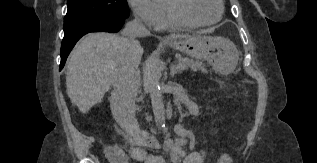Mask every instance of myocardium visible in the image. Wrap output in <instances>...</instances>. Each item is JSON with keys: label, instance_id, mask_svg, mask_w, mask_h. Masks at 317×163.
<instances>
[{"label": "myocardium", "instance_id": "1", "mask_svg": "<svg viewBox=\"0 0 317 163\" xmlns=\"http://www.w3.org/2000/svg\"><path fill=\"white\" fill-rule=\"evenodd\" d=\"M181 0H165V8L169 15V17L179 25L184 27H201V26H209L219 22L224 14V2L223 0H217L220 8L219 15L209 21H198L192 20L185 16L181 9Z\"/></svg>", "mask_w": 317, "mask_h": 163}]
</instances>
